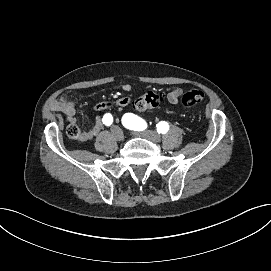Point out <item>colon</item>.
<instances>
[{
    "mask_svg": "<svg viewBox=\"0 0 271 271\" xmlns=\"http://www.w3.org/2000/svg\"><path fill=\"white\" fill-rule=\"evenodd\" d=\"M202 91L198 89H190L182 97L184 106L191 107L199 103L203 99ZM163 102V96L154 91H148L141 95L133 102V108L137 111H146L159 107ZM67 135L72 139H79L81 132L76 125H69L67 128Z\"/></svg>",
    "mask_w": 271,
    "mask_h": 271,
    "instance_id": "obj_1",
    "label": "colon"
}]
</instances>
